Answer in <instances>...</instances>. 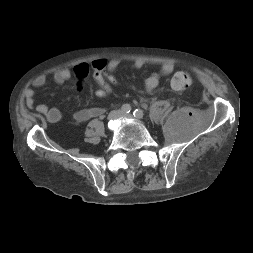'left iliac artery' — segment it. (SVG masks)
<instances>
[{"label": "left iliac artery", "instance_id": "left-iliac-artery-1", "mask_svg": "<svg viewBox=\"0 0 253 253\" xmlns=\"http://www.w3.org/2000/svg\"><path fill=\"white\" fill-rule=\"evenodd\" d=\"M134 117L141 119L144 116V112L141 109H136L133 112Z\"/></svg>", "mask_w": 253, "mask_h": 253}]
</instances>
